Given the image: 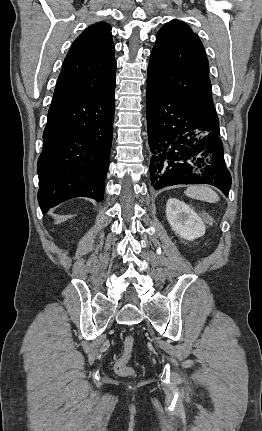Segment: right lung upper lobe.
Returning a JSON list of instances; mask_svg holds the SVG:
<instances>
[{
    "instance_id": "1",
    "label": "right lung upper lobe",
    "mask_w": 262,
    "mask_h": 431,
    "mask_svg": "<svg viewBox=\"0 0 262 431\" xmlns=\"http://www.w3.org/2000/svg\"><path fill=\"white\" fill-rule=\"evenodd\" d=\"M111 27L95 23L73 42L63 64L54 98H100L115 90L116 61Z\"/></svg>"
}]
</instances>
